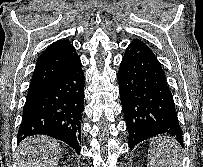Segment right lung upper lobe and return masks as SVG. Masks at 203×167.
I'll use <instances>...</instances> for the list:
<instances>
[{
  "label": "right lung upper lobe",
  "mask_w": 203,
  "mask_h": 167,
  "mask_svg": "<svg viewBox=\"0 0 203 167\" xmlns=\"http://www.w3.org/2000/svg\"><path fill=\"white\" fill-rule=\"evenodd\" d=\"M78 58L68 40H59L47 47L38 58L28 90L38 89L69 68Z\"/></svg>",
  "instance_id": "right-lung-upper-lobe-1"
}]
</instances>
